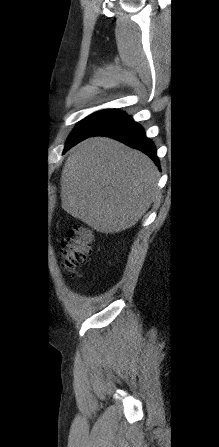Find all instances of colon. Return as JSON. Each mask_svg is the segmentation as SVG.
Masks as SVG:
<instances>
[{
  "label": "colon",
  "instance_id": "colon-1",
  "mask_svg": "<svg viewBox=\"0 0 219 447\" xmlns=\"http://www.w3.org/2000/svg\"><path fill=\"white\" fill-rule=\"evenodd\" d=\"M93 235L91 230L81 224L69 229L61 243L62 266L74 275L76 269L87 263L92 250Z\"/></svg>",
  "mask_w": 219,
  "mask_h": 447
}]
</instances>
